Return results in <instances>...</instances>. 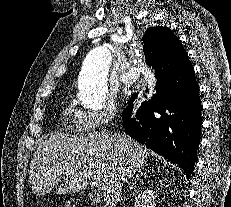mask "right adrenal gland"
<instances>
[{
	"mask_svg": "<svg viewBox=\"0 0 231 207\" xmlns=\"http://www.w3.org/2000/svg\"><path fill=\"white\" fill-rule=\"evenodd\" d=\"M143 171H144V167H141V168L138 170V172L135 173L136 176H135V178H134V180H133L134 182L130 183V186H129L130 189H132V187L136 184V182H137L138 179H139V176H143V175H144Z\"/></svg>",
	"mask_w": 231,
	"mask_h": 207,
	"instance_id": "obj_1",
	"label": "right adrenal gland"
}]
</instances>
